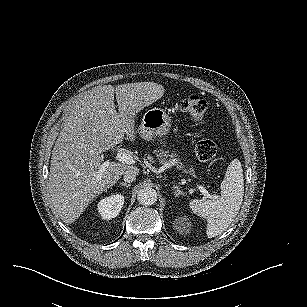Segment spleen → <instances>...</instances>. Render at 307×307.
I'll list each match as a JSON object with an SVG mask.
<instances>
[{"label": "spleen", "mask_w": 307, "mask_h": 307, "mask_svg": "<svg viewBox=\"0 0 307 307\" xmlns=\"http://www.w3.org/2000/svg\"><path fill=\"white\" fill-rule=\"evenodd\" d=\"M220 188V197L209 200L194 199L190 202L193 212L208 219V238L224 232L240 210L244 195V177L239 159L235 158L229 163Z\"/></svg>", "instance_id": "3e777b00"}]
</instances>
